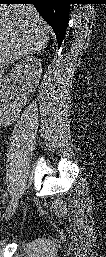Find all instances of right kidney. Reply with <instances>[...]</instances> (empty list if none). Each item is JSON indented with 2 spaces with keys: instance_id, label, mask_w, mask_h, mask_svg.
<instances>
[{
  "instance_id": "obj_1",
  "label": "right kidney",
  "mask_w": 106,
  "mask_h": 257,
  "mask_svg": "<svg viewBox=\"0 0 106 257\" xmlns=\"http://www.w3.org/2000/svg\"><path fill=\"white\" fill-rule=\"evenodd\" d=\"M41 72V62L34 56H27L24 60L16 63L14 68L0 82V103L2 111L9 114L19 112L23 105L26 104L28 95L39 83ZM16 81L20 84V93L14 101H11V83Z\"/></svg>"
}]
</instances>
